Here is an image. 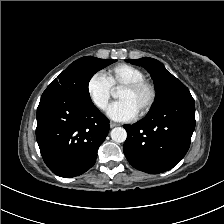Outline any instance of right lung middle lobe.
I'll list each match as a JSON object with an SVG mask.
<instances>
[{
    "instance_id": "right-lung-middle-lobe-1",
    "label": "right lung middle lobe",
    "mask_w": 224,
    "mask_h": 224,
    "mask_svg": "<svg viewBox=\"0 0 224 224\" xmlns=\"http://www.w3.org/2000/svg\"><path fill=\"white\" fill-rule=\"evenodd\" d=\"M116 61L91 56L82 57L70 64L46 90H57L91 100L88 92L90 79L97 71Z\"/></svg>"
}]
</instances>
